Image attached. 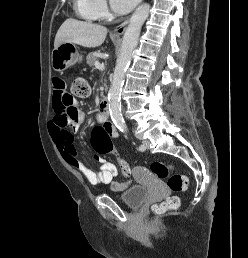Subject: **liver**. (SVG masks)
Listing matches in <instances>:
<instances>
[{
    "mask_svg": "<svg viewBox=\"0 0 248 258\" xmlns=\"http://www.w3.org/2000/svg\"><path fill=\"white\" fill-rule=\"evenodd\" d=\"M107 28L88 22L67 19L57 31L54 48L62 43H73L83 47H99L105 41Z\"/></svg>",
    "mask_w": 248,
    "mask_h": 258,
    "instance_id": "6515ba94",
    "label": "liver"
}]
</instances>
